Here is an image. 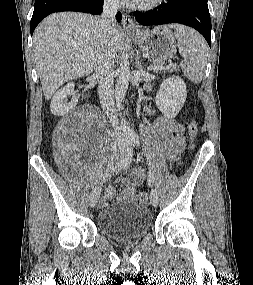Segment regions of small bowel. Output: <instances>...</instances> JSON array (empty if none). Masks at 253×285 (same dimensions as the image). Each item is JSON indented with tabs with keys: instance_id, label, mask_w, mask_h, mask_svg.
<instances>
[{
	"instance_id": "obj_1",
	"label": "small bowel",
	"mask_w": 253,
	"mask_h": 285,
	"mask_svg": "<svg viewBox=\"0 0 253 285\" xmlns=\"http://www.w3.org/2000/svg\"><path fill=\"white\" fill-rule=\"evenodd\" d=\"M154 131L163 139L162 151L170 162H176L184 147V125L173 118L163 115H155L153 121ZM143 180V173L139 168L135 170L134 178L123 176L119 181L125 184V189L119 195L120 200H136L137 185ZM115 195V189L110 187L105 192L102 206H106L111 198Z\"/></svg>"
}]
</instances>
